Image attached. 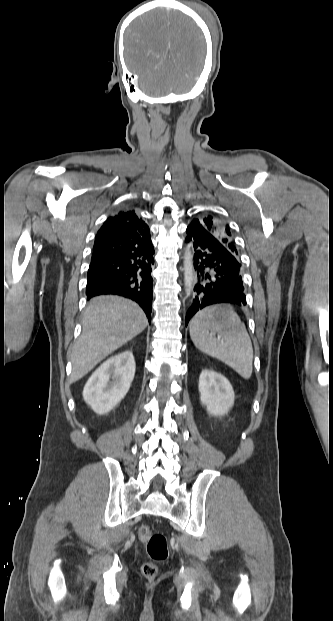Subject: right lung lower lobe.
I'll list each match as a JSON object with an SVG mask.
<instances>
[{
	"instance_id": "obj_1",
	"label": "right lung lower lobe",
	"mask_w": 333,
	"mask_h": 621,
	"mask_svg": "<svg viewBox=\"0 0 333 621\" xmlns=\"http://www.w3.org/2000/svg\"><path fill=\"white\" fill-rule=\"evenodd\" d=\"M153 245L142 250L99 247L93 250L86 287L87 299L103 294L137 302L151 320Z\"/></svg>"
}]
</instances>
